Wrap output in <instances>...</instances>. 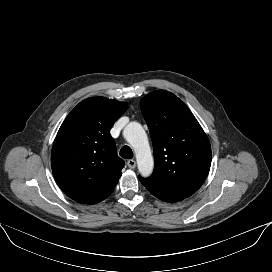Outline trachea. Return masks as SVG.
Masks as SVG:
<instances>
[{
    "label": "trachea",
    "mask_w": 272,
    "mask_h": 272,
    "mask_svg": "<svg viewBox=\"0 0 272 272\" xmlns=\"http://www.w3.org/2000/svg\"><path fill=\"white\" fill-rule=\"evenodd\" d=\"M120 156L124 159H132L133 158V152H132V149L125 145L123 146L121 149H120V152H119Z\"/></svg>",
    "instance_id": "obj_1"
}]
</instances>
